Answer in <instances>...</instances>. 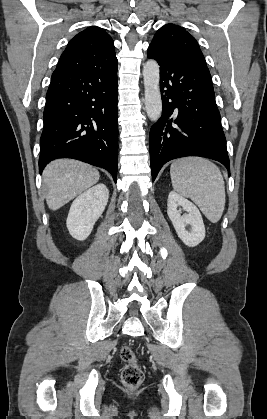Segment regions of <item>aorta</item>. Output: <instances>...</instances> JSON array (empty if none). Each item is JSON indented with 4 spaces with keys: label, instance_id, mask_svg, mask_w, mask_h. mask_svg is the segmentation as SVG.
Masks as SVG:
<instances>
[{
    "label": "aorta",
    "instance_id": "1",
    "mask_svg": "<svg viewBox=\"0 0 267 419\" xmlns=\"http://www.w3.org/2000/svg\"><path fill=\"white\" fill-rule=\"evenodd\" d=\"M145 88V110L151 121H157L162 114L160 93V69L155 60H148L143 67Z\"/></svg>",
    "mask_w": 267,
    "mask_h": 419
}]
</instances>
